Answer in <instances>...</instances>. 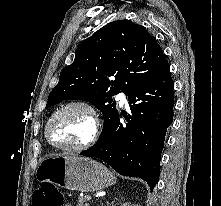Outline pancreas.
<instances>
[{
  "mask_svg": "<svg viewBox=\"0 0 221 206\" xmlns=\"http://www.w3.org/2000/svg\"><path fill=\"white\" fill-rule=\"evenodd\" d=\"M78 206H90V205L87 203V199L85 197H79Z\"/></svg>",
  "mask_w": 221,
  "mask_h": 206,
  "instance_id": "pancreas-1",
  "label": "pancreas"
}]
</instances>
